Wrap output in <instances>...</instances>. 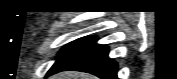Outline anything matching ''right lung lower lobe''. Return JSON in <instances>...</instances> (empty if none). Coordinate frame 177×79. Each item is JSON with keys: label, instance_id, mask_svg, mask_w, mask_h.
Segmentation results:
<instances>
[{"label": "right lung lower lobe", "instance_id": "obj_1", "mask_svg": "<svg viewBox=\"0 0 177 79\" xmlns=\"http://www.w3.org/2000/svg\"><path fill=\"white\" fill-rule=\"evenodd\" d=\"M95 42V37L88 38L53 66L47 76L65 70H77L92 73L101 79H117V64L108 58V47Z\"/></svg>", "mask_w": 177, "mask_h": 79}]
</instances>
